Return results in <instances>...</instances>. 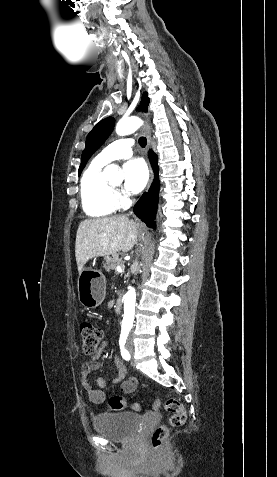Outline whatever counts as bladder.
<instances>
[{
    "label": "bladder",
    "instance_id": "bladder-1",
    "mask_svg": "<svg viewBox=\"0 0 277 477\" xmlns=\"http://www.w3.org/2000/svg\"><path fill=\"white\" fill-rule=\"evenodd\" d=\"M142 418L133 412H107L95 417L93 427L101 436L111 441H125L140 428Z\"/></svg>",
    "mask_w": 277,
    "mask_h": 477
}]
</instances>
